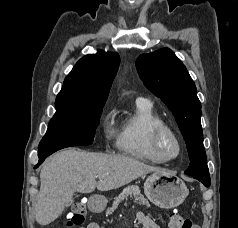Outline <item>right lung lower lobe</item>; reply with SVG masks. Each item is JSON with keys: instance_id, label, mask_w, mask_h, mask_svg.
Here are the masks:
<instances>
[{"instance_id": "98d812e1", "label": "right lung lower lobe", "mask_w": 238, "mask_h": 228, "mask_svg": "<svg viewBox=\"0 0 238 228\" xmlns=\"http://www.w3.org/2000/svg\"><path fill=\"white\" fill-rule=\"evenodd\" d=\"M66 147H72V146H61V147H54V148H42V149H39L38 150V157H39V162L38 164L34 167V168H37L43 161L44 159L51 155L52 153L60 150V149H63V148H66Z\"/></svg>"}]
</instances>
